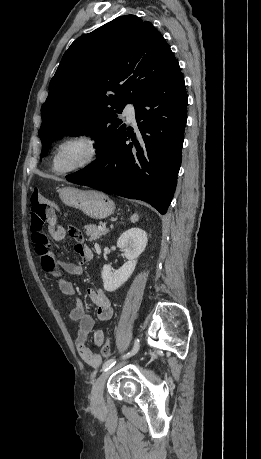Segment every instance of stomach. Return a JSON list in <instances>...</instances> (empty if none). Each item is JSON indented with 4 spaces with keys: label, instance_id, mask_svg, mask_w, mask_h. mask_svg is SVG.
<instances>
[{
    "label": "stomach",
    "instance_id": "stomach-1",
    "mask_svg": "<svg viewBox=\"0 0 261 459\" xmlns=\"http://www.w3.org/2000/svg\"><path fill=\"white\" fill-rule=\"evenodd\" d=\"M61 201L94 219H104L115 210L114 202L103 192L65 187L58 190Z\"/></svg>",
    "mask_w": 261,
    "mask_h": 459
}]
</instances>
